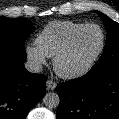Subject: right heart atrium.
<instances>
[{
  "label": "right heart atrium",
  "mask_w": 119,
  "mask_h": 119,
  "mask_svg": "<svg viewBox=\"0 0 119 119\" xmlns=\"http://www.w3.org/2000/svg\"><path fill=\"white\" fill-rule=\"evenodd\" d=\"M26 54L28 58L37 66H41L46 63V56L37 46H27Z\"/></svg>",
  "instance_id": "1"
}]
</instances>
